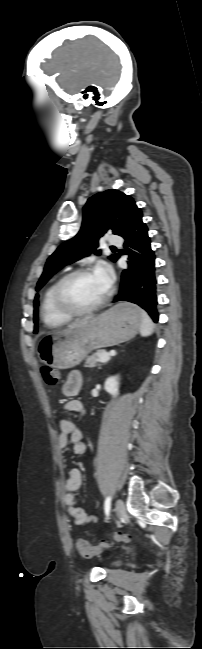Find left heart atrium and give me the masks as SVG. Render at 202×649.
Returning a JSON list of instances; mask_svg holds the SVG:
<instances>
[{"mask_svg": "<svg viewBox=\"0 0 202 649\" xmlns=\"http://www.w3.org/2000/svg\"><path fill=\"white\" fill-rule=\"evenodd\" d=\"M94 275L100 280L106 289L110 287L113 279V272L108 264L100 262L94 271Z\"/></svg>", "mask_w": 202, "mask_h": 649, "instance_id": "1", "label": "left heart atrium"}]
</instances>
